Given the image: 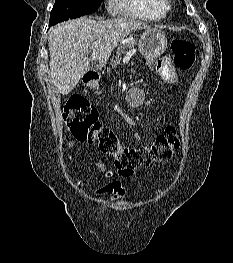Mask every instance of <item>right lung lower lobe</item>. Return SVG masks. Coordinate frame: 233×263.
I'll return each mask as SVG.
<instances>
[{"label":"right lung lower lobe","instance_id":"obj_1","mask_svg":"<svg viewBox=\"0 0 233 263\" xmlns=\"http://www.w3.org/2000/svg\"><path fill=\"white\" fill-rule=\"evenodd\" d=\"M52 25H55L54 23H49V27L52 26Z\"/></svg>","mask_w":233,"mask_h":263}]
</instances>
